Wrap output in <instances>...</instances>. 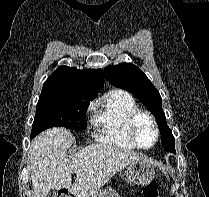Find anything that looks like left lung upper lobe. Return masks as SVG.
I'll return each instance as SVG.
<instances>
[{"label":"left lung upper lobe","instance_id":"left-lung-upper-lobe-1","mask_svg":"<svg viewBox=\"0 0 209 197\" xmlns=\"http://www.w3.org/2000/svg\"><path fill=\"white\" fill-rule=\"evenodd\" d=\"M104 72L112 85L131 92L151 111L157 119L164 149L174 152L175 139L166 123L161 96L147 76L131 63L108 66Z\"/></svg>","mask_w":209,"mask_h":197}]
</instances>
